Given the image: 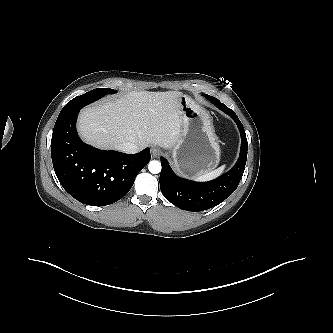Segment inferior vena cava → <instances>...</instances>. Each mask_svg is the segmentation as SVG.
<instances>
[{"instance_id": "inferior-vena-cava-1", "label": "inferior vena cava", "mask_w": 333, "mask_h": 333, "mask_svg": "<svg viewBox=\"0 0 333 333\" xmlns=\"http://www.w3.org/2000/svg\"><path fill=\"white\" fill-rule=\"evenodd\" d=\"M120 150L127 154H134L139 151V147L135 143L125 142L120 146Z\"/></svg>"}]
</instances>
